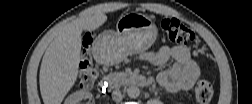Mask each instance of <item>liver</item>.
Listing matches in <instances>:
<instances>
[{
  "mask_svg": "<svg viewBox=\"0 0 252 104\" xmlns=\"http://www.w3.org/2000/svg\"><path fill=\"white\" fill-rule=\"evenodd\" d=\"M107 16L95 13L61 27L43 56L39 84L43 102L60 104L73 87L81 60V34L103 25Z\"/></svg>",
  "mask_w": 252,
  "mask_h": 104,
  "instance_id": "6515ba94",
  "label": "liver"
}]
</instances>
